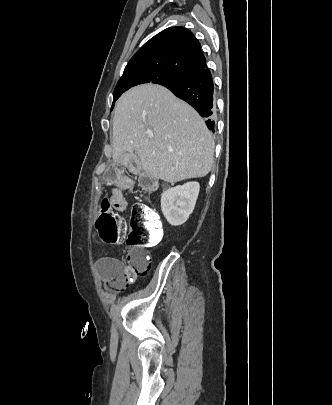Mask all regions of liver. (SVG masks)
Masks as SVG:
<instances>
[{
  "mask_svg": "<svg viewBox=\"0 0 332 405\" xmlns=\"http://www.w3.org/2000/svg\"><path fill=\"white\" fill-rule=\"evenodd\" d=\"M113 160L127 165L133 152L150 176L169 183L206 176L214 140L204 120L165 87L146 84L125 92L113 119Z\"/></svg>",
  "mask_w": 332,
  "mask_h": 405,
  "instance_id": "1",
  "label": "liver"
}]
</instances>
